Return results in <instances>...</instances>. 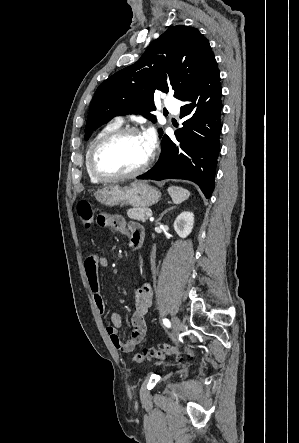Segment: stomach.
Here are the masks:
<instances>
[{
  "mask_svg": "<svg viewBox=\"0 0 299 443\" xmlns=\"http://www.w3.org/2000/svg\"><path fill=\"white\" fill-rule=\"evenodd\" d=\"M99 203L113 207L116 205H132L148 207L157 203L161 197L160 191L144 181L134 182L128 187L110 185L95 192Z\"/></svg>",
  "mask_w": 299,
  "mask_h": 443,
  "instance_id": "stomach-1",
  "label": "stomach"
}]
</instances>
